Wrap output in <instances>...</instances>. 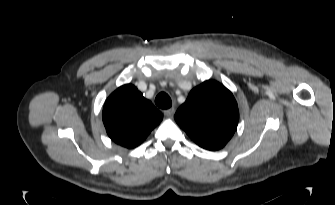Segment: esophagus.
I'll return each instance as SVG.
<instances>
[{
  "instance_id": "1",
  "label": "esophagus",
  "mask_w": 335,
  "mask_h": 205,
  "mask_svg": "<svg viewBox=\"0 0 335 205\" xmlns=\"http://www.w3.org/2000/svg\"><path fill=\"white\" fill-rule=\"evenodd\" d=\"M163 113L166 117H172L173 114L175 113V108L172 107L167 110H164Z\"/></svg>"
}]
</instances>
